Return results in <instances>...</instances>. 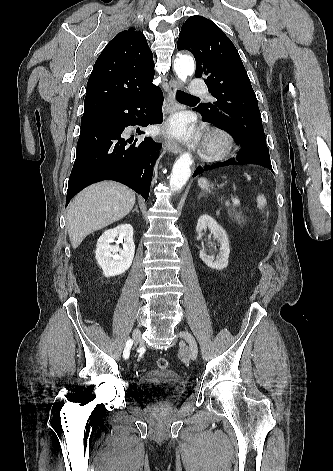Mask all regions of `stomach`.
<instances>
[{
    "label": "stomach",
    "mask_w": 333,
    "mask_h": 471,
    "mask_svg": "<svg viewBox=\"0 0 333 471\" xmlns=\"http://www.w3.org/2000/svg\"><path fill=\"white\" fill-rule=\"evenodd\" d=\"M198 185H199V187H201L202 189H208V188L210 187L208 180L205 179V178L199 179V180H198Z\"/></svg>",
    "instance_id": "1"
}]
</instances>
